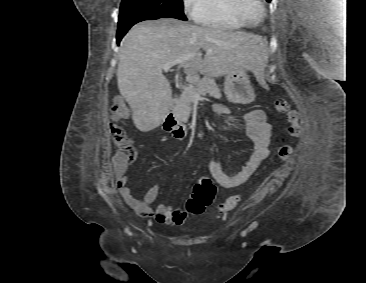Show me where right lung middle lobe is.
Wrapping results in <instances>:
<instances>
[{
    "instance_id": "right-lung-middle-lobe-1",
    "label": "right lung middle lobe",
    "mask_w": 366,
    "mask_h": 283,
    "mask_svg": "<svg viewBox=\"0 0 366 283\" xmlns=\"http://www.w3.org/2000/svg\"><path fill=\"white\" fill-rule=\"evenodd\" d=\"M150 17L187 20L183 13L182 0H122L119 21Z\"/></svg>"
}]
</instances>
